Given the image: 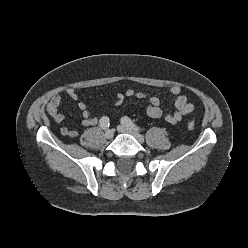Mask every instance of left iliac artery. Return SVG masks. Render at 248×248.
Wrapping results in <instances>:
<instances>
[{"instance_id":"1","label":"left iliac artery","mask_w":248,"mask_h":248,"mask_svg":"<svg viewBox=\"0 0 248 248\" xmlns=\"http://www.w3.org/2000/svg\"><path fill=\"white\" fill-rule=\"evenodd\" d=\"M121 123L135 131L140 132L141 128L137 126L129 117L125 116L121 119Z\"/></svg>"}]
</instances>
